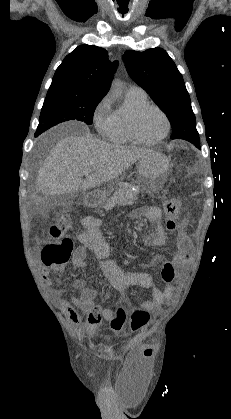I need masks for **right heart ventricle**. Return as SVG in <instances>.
<instances>
[{
	"label": "right heart ventricle",
	"mask_w": 231,
	"mask_h": 419,
	"mask_svg": "<svg viewBox=\"0 0 231 419\" xmlns=\"http://www.w3.org/2000/svg\"><path fill=\"white\" fill-rule=\"evenodd\" d=\"M148 103L146 93L128 90L125 104L115 112L116 128L111 140L117 144L136 143L130 130V117L135 109Z\"/></svg>",
	"instance_id": "1"
}]
</instances>
